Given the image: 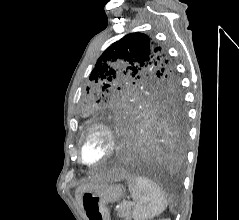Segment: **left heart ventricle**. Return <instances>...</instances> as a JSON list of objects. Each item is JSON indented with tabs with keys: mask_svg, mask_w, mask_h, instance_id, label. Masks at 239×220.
<instances>
[{
	"mask_svg": "<svg viewBox=\"0 0 239 220\" xmlns=\"http://www.w3.org/2000/svg\"><path fill=\"white\" fill-rule=\"evenodd\" d=\"M106 150L105 137L100 133L92 134L83 147V158L88 162L98 160Z\"/></svg>",
	"mask_w": 239,
	"mask_h": 220,
	"instance_id": "obj_1",
	"label": "left heart ventricle"
}]
</instances>
